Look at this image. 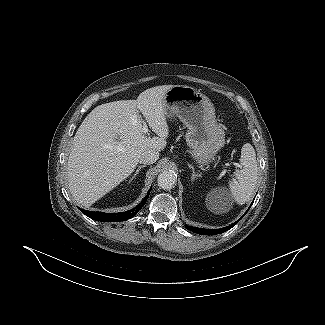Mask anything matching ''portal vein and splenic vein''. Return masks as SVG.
I'll list each match as a JSON object with an SVG mask.
<instances>
[{
  "mask_svg": "<svg viewBox=\"0 0 325 325\" xmlns=\"http://www.w3.org/2000/svg\"><path fill=\"white\" fill-rule=\"evenodd\" d=\"M148 126H147V124L144 122L143 123V128H142V132L144 133V134H148Z\"/></svg>",
  "mask_w": 325,
  "mask_h": 325,
  "instance_id": "18ae733b",
  "label": "portal vein and splenic vein"
}]
</instances>
